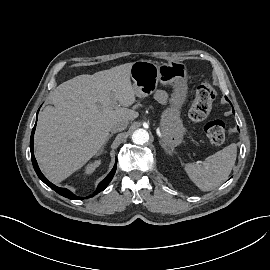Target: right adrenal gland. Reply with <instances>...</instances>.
<instances>
[{
  "mask_svg": "<svg viewBox=\"0 0 270 270\" xmlns=\"http://www.w3.org/2000/svg\"><path fill=\"white\" fill-rule=\"evenodd\" d=\"M112 136H113V134H110V135L108 136V138H107V140H106L104 146L100 149V151L98 152L97 155H100V154L104 151L105 145L107 144V142L109 141V139H110Z\"/></svg>",
  "mask_w": 270,
  "mask_h": 270,
  "instance_id": "2a0ac1e0",
  "label": "right adrenal gland"
}]
</instances>
